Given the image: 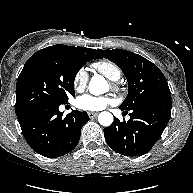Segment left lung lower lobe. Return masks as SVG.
<instances>
[{"label":"left lung lower lobe","mask_w":193,"mask_h":193,"mask_svg":"<svg viewBox=\"0 0 193 193\" xmlns=\"http://www.w3.org/2000/svg\"><path fill=\"white\" fill-rule=\"evenodd\" d=\"M171 108V94H166L129 110V121L116 119L104 129L107 144L125 156L146 154L161 137L170 119ZM124 112L128 113V110Z\"/></svg>","instance_id":"left-lung-lower-lobe-1"}]
</instances>
